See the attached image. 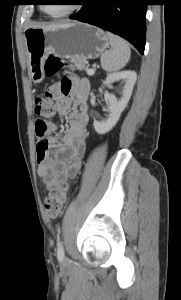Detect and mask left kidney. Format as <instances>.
<instances>
[{
    "mask_svg": "<svg viewBox=\"0 0 181 300\" xmlns=\"http://www.w3.org/2000/svg\"><path fill=\"white\" fill-rule=\"evenodd\" d=\"M136 78L137 75L134 71H121L107 75L103 84L108 85L116 81H121L123 86L121 90V97L119 100L113 94H110L108 92L104 94V99L107 104L109 115L104 120L94 121V129L98 134H105L116 125L122 111L125 109L128 101L130 100Z\"/></svg>",
    "mask_w": 181,
    "mask_h": 300,
    "instance_id": "5707ae66",
    "label": "left kidney"
}]
</instances>
